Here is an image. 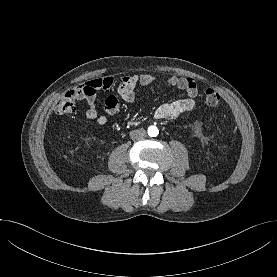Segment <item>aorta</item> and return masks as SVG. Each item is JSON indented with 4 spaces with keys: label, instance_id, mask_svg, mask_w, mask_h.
I'll return each instance as SVG.
<instances>
[{
    "label": "aorta",
    "instance_id": "1",
    "mask_svg": "<svg viewBox=\"0 0 277 277\" xmlns=\"http://www.w3.org/2000/svg\"><path fill=\"white\" fill-rule=\"evenodd\" d=\"M159 134V130L156 126H150L148 128V135L151 137H156Z\"/></svg>",
    "mask_w": 277,
    "mask_h": 277
}]
</instances>
